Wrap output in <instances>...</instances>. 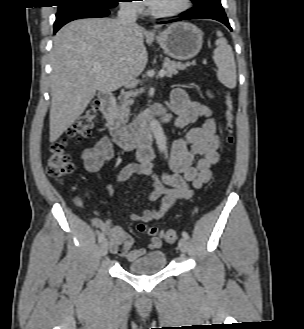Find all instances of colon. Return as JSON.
<instances>
[{
  "mask_svg": "<svg viewBox=\"0 0 304 329\" xmlns=\"http://www.w3.org/2000/svg\"><path fill=\"white\" fill-rule=\"evenodd\" d=\"M98 109V103L94 101L81 113L69 132L71 138L80 140L88 136L97 118ZM225 119L228 134L227 142L232 144L234 142V110L233 100L230 94H226L225 96ZM65 147L66 142L64 140L56 141L50 146L47 173L50 177L58 181H62L71 175L74 170L71 155L66 151ZM137 229L139 232L146 233L149 236L160 237L168 243H174L178 240V232L174 229H160L155 226H147L143 223L138 224Z\"/></svg>",
  "mask_w": 304,
  "mask_h": 329,
  "instance_id": "obj_1",
  "label": "colon"
}]
</instances>
